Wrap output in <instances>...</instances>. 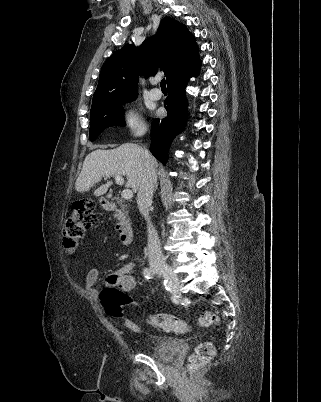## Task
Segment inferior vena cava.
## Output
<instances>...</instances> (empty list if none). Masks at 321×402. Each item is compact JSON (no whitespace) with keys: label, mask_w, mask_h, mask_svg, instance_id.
<instances>
[{"label":"inferior vena cava","mask_w":321,"mask_h":402,"mask_svg":"<svg viewBox=\"0 0 321 402\" xmlns=\"http://www.w3.org/2000/svg\"><path fill=\"white\" fill-rule=\"evenodd\" d=\"M157 183V172L152 156L147 149L144 150V171L141 183L137 192V205L140 213L147 221L148 233V260L152 267H165V259L162 254L158 233L153 226L149 207L152 204L154 187Z\"/></svg>","instance_id":"602c4592"}]
</instances>
